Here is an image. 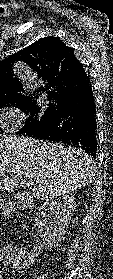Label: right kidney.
Returning <instances> with one entry per match:
<instances>
[{
    "instance_id": "right-kidney-1",
    "label": "right kidney",
    "mask_w": 113,
    "mask_h": 279,
    "mask_svg": "<svg viewBox=\"0 0 113 279\" xmlns=\"http://www.w3.org/2000/svg\"><path fill=\"white\" fill-rule=\"evenodd\" d=\"M76 209L75 197L70 194L44 202L38 209L35 218V228L43 247L51 249L58 245L66 233L69 221Z\"/></svg>"
}]
</instances>
